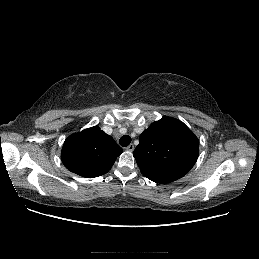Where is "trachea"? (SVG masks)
Returning <instances> with one entry per match:
<instances>
[{
  "label": "trachea",
  "mask_w": 259,
  "mask_h": 259,
  "mask_svg": "<svg viewBox=\"0 0 259 259\" xmlns=\"http://www.w3.org/2000/svg\"><path fill=\"white\" fill-rule=\"evenodd\" d=\"M119 143L123 147H127L131 143V137L128 135H124L120 138Z\"/></svg>",
  "instance_id": "3493384b"
}]
</instances>
